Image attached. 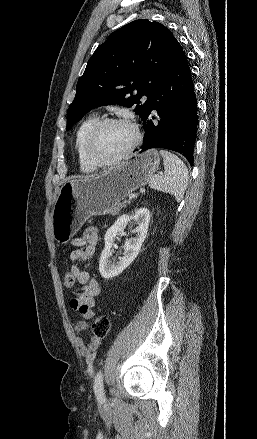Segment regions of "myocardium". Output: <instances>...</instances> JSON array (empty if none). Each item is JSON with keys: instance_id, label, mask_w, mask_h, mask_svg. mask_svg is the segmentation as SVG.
Returning <instances> with one entry per match:
<instances>
[{"instance_id": "f54148a6", "label": "myocardium", "mask_w": 257, "mask_h": 439, "mask_svg": "<svg viewBox=\"0 0 257 439\" xmlns=\"http://www.w3.org/2000/svg\"><path fill=\"white\" fill-rule=\"evenodd\" d=\"M110 125H126L132 128L134 132V138L132 142L129 144V146L121 152L116 157L107 160V161H101L93 153V145L95 143V140L99 136V134ZM142 135L139 127L136 123H134L130 119L126 118H105L100 120L90 131L88 134L86 140H85V154L88 159V161L95 167V168H106L113 164H116L125 158H127L141 143Z\"/></svg>"}]
</instances>
